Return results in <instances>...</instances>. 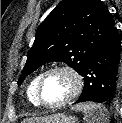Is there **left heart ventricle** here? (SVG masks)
<instances>
[{
  "instance_id": "1",
  "label": "left heart ventricle",
  "mask_w": 122,
  "mask_h": 123,
  "mask_svg": "<svg viewBox=\"0 0 122 123\" xmlns=\"http://www.w3.org/2000/svg\"><path fill=\"white\" fill-rule=\"evenodd\" d=\"M73 88L72 78L65 72L49 74L42 86V96L47 103H56L65 99Z\"/></svg>"
}]
</instances>
